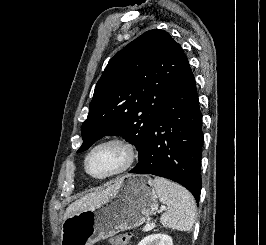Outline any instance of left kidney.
I'll return each mask as SVG.
<instances>
[{
    "label": "left kidney",
    "instance_id": "obj_1",
    "mask_svg": "<svg viewBox=\"0 0 266 245\" xmlns=\"http://www.w3.org/2000/svg\"><path fill=\"white\" fill-rule=\"evenodd\" d=\"M138 245H173V241L169 235H148Z\"/></svg>",
    "mask_w": 266,
    "mask_h": 245
}]
</instances>
